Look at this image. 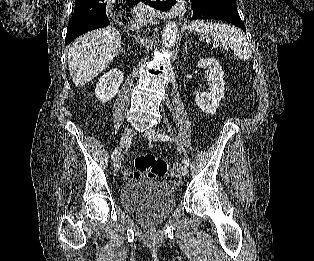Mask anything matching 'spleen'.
I'll list each match as a JSON object with an SVG mask.
<instances>
[{"label":"spleen","instance_id":"spleen-1","mask_svg":"<svg viewBox=\"0 0 314 261\" xmlns=\"http://www.w3.org/2000/svg\"><path fill=\"white\" fill-rule=\"evenodd\" d=\"M188 29L210 35L215 41L225 45V49H228L227 46L232 49L234 55L242 61H247L252 57V51L245 35L234 26L196 20L190 23Z\"/></svg>","mask_w":314,"mask_h":261}]
</instances>
